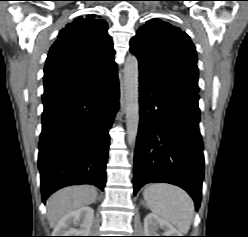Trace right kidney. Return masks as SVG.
<instances>
[{
    "label": "right kidney",
    "mask_w": 248,
    "mask_h": 237,
    "mask_svg": "<svg viewBox=\"0 0 248 237\" xmlns=\"http://www.w3.org/2000/svg\"><path fill=\"white\" fill-rule=\"evenodd\" d=\"M94 210L89 206L76 209L65 215L55 228L56 236H89Z\"/></svg>",
    "instance_id": "right-kidney-1"
}]
</instances>
